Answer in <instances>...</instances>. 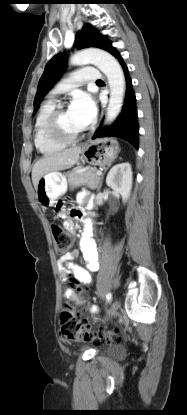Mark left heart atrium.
Instances as JSON below:
<instances>
[{"label":"left heart atrium","mask_w":187,"mask_h":415,"mask_svg":"<svg viewBox=\"0 0 187 415\" xmlns=\"http://www.w3.org/2000/svg\"><path fill=\"white\" fill-rule=\"evenodd\" d=\"M69 112L83 128H86L92 123L96 115L94 100L88 93L79 92L73 97Z\"/></svg>","instance_id":"left-heart-atrium-1"}]
</instances>
